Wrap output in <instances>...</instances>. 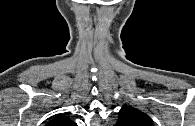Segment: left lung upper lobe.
Masks as SVG:
<instances>
[{
  "mask_svg": "<svg viewBox=\"0 0 195 126\" xmlns=\"http://www.w3.org/2000/svg\"><path fill=\"white\" fill-rule=\"evenodd\" d=\"M117 126H154L151 118L132 106H123L119 111Z\"/></svg>",
  "mask_w": 195,
  "mask_h": 126,
  "instance_id": "1",
  "label": "left lung upper lobe"
}]
</instances>
